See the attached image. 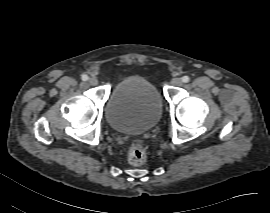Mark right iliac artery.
Segmentation results:
<instances>
[{"instance_id":"1","label":"right iliac artery","mask_w":270,"mask_h":213,"mask_svg":"<svg viewBox=\"0 0 270 213\" xmlns=\"http://www.w3.org/2000/svg\"><path fill=\"white\" fill-rule=\"evenodd\" d=\"M81 78H82V80H83V81H87V80H88V76H87V75H85V74H84V75H82V77H81Z\"/></svg>"}]
</instances>
